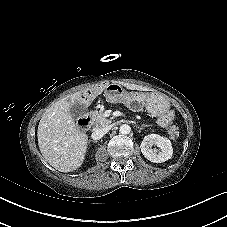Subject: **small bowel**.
Instances as JSON below:
<instances>
[{
	"label": "small bowel",
	"mask_w": 227,
	"mask_h": 227,
	"mask_svg": "<svg viewBox=\"0 0 227 227\" xmlns=\"http://www.w3.org/2000/svg\"><path fill=\"white\" fill-rule=\"evenodd\" d=\"M95 93H99V89H96L94 91ZM172 119V115L170 113H167L165 115H162L159 119H158V124L162 127H165L169 124V122Z\"/></svg>",
	"instance_id": "c3829d8e"
}]
</instances>
